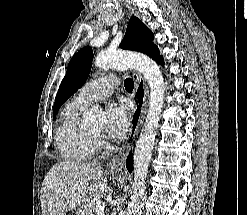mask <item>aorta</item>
Wrapping results in <instances>:
<instances>
[{"label":"aorta","instance_id":"aorta-1","mask_svg":"<svg viewBox=\"0 0 247 215\" xmlns=\"http://www.w3.org/2000/svg\"><path fill=\"white\" fill-rule=\"evenodd\" d=\"M95 65L100 68H134L142 73L150 87L149 108L134 150L133 194L127 213V215H141V200L144 195L145 179L164 103V79L157 63L150 57L140 53L125 51L102 52L96 57ZM102 118V110L94 106L85 116V123L88 125H98Z\"/></svg>","mask_w":247,"mask_h":215}]
</instances>
